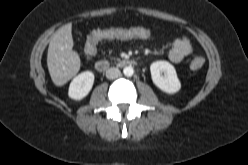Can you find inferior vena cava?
Wrapping results in <instances>:
<instances>
[{"label":"inferior vena cava","instance_id":"inferior-vena-cava-1","mask_svg":"<svg viewBox=\"0 0 248 165\" xmlns=\"http://www.w3.org/2000/svg\"><path fill=\"white\" fill-rule=\"evenodd\" d=\"M120 75H121V72L118 68L112 67L106 71V77L108 79H115V78H118Z\"/></svg>","mask_w":248,"mask_h":165}]
</instances>
